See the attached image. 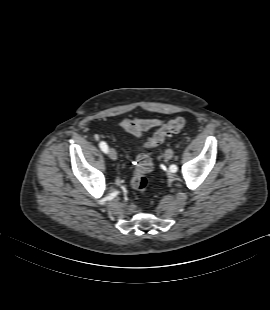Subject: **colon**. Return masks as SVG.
<instances>
[{"mask_svg":"<svg viewBox=\"0 0 270 310\" xmlns=\"http://www.w3.org/2000/svg\"><path fill=\"white\" fill-rule=\"evenodd\" d=\"M186 125L183 117H176L162 126L145 144L144 151L140 152L135 161V170L131 179L132 188L143 194L148 187L147 174L153 169V162L147 149L158 146L164 142L167 136L180 132Z\"/></svg>","mask_w":270,"mask_h":310,"instance_id":"1","label":"colon"}]
</instances>
